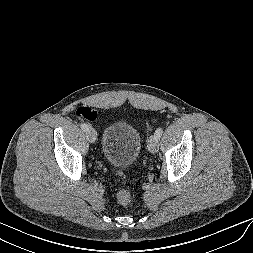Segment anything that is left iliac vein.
Returning a JSON list of instances; mask_svg holds the SVG:
<instances>
[{
	"label": "left iliac vein",
	"mask_w": 253,
	"mask_h": 253,
	"mask_svg": "<svg viewBox=\"0 0 253 253\" xmlns=\"http://www.w3.org/2000/svg\"><path fill=\"white\" fill-rule=\"evenodd\" d=\"M148 149L151 153H156L159 149V138L155 135L151 136L148 142Z\"/></svg>",
	"instance_id": "4c4485c4"
}]
</instances>
